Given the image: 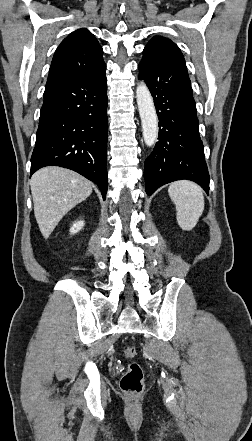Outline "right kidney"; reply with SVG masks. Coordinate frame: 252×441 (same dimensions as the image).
Masks as SVG:
<instances>
[{"instance_id": "ca27d5eb", "label": "right kidney", "mask_w": 252, "mask_h": 441, "mask_svg": "<svg viewBox=\"0 0 252 441\" xmlns=\"http://www.w3.org/2000/svg\"><path fill=\"white\" fill-rule=\"evenodd\" d=\"M84 227V221L79 220L73 223L72 227L70 228L71 234H76Z\"/></svg>"}]
</instances>
